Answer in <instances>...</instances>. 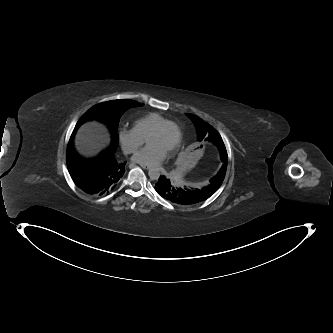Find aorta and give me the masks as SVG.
Masks as SVG:
<instances>
[{"mask_svg": "<svg viewBox=\"0 0 333 333\" xmlns=\"http://www.w3.org/2000/svg\"><path fill=\"white\" fill-rule=\"evenodd\" d=\"M148 175L152 180H157L160 177V172L153 168L149 170Z\"/></svg>", "mask_w": 333, "mask_h": 333, "instance_id": "obj_1", "label": "aorta"}]
</instances>
